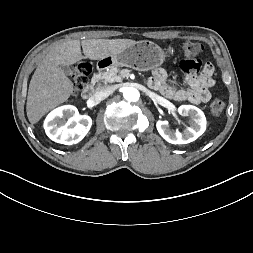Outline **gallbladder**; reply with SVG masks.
<instances>
[{
	"mask_svg": "<svg viewBox=\"0 0 253 253\" xmlns=\"http://www.w3.org/2000/svg\"><path fill=\"white\" fill-rule=\"evenodd\" d=\"M62 70L64 71L66 75H72L73 73L69 66H62Z\"/></svg>",
	"mask_w": 253,
	"mask_h": 253,
	"instance_id": "bac80fb5",
	"label": "gallbladder"
}]
</instances>
